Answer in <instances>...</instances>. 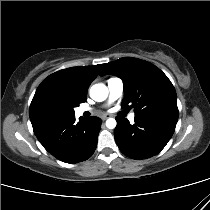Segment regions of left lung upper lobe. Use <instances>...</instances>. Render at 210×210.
Masks as SVG:
<instances>
[{"label":"left lung upper lobe","mask_w":210,"mask_h":210,"mask_svg":"<svg viewBox=\"0 0 210 210\" xmlns=\"http://www.w3.org/2000/svg\"><path fill=\"white\" fill-rule=\"evenodd\" d=\"M100 75L113 74L124 84L122 107H133L135 118L178 120L177 97L168 77L155 65L125 57L103 64Z\"/></svg>","instance_id":"left-lung-upper-lobe-1"}]
</instances>
